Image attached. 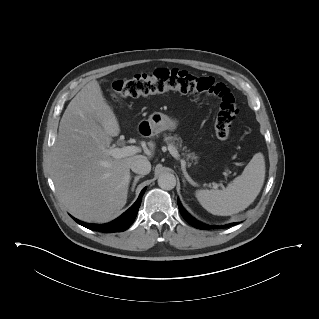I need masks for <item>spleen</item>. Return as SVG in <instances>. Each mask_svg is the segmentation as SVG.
I'll return each mask as SVG.
<instances>
[{"label": "spleen", "instance_id": "obj_1", "mask_svg": "<svg viewBox=\"0 0 319 319\" xmlns=\"http://www.w3.org/2000/svg\"><path fill=\"white\" fill-rule=\"evenodd\" d=\"M265 180V161L262 153H256L236 177L223 190H198L196 198L208 212L229 216L245 210L260 193Z\"/></svg>", "mask_w": 319, "mask_h": 319}]
</instances>
